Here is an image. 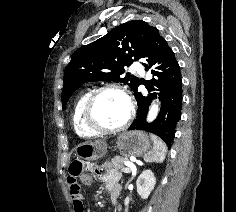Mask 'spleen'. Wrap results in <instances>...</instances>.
Segmentation results:
<instances>
[{
	"instance_id": "3e777b00",
	"label": "spleen",
	"mask_w": 236,
	"mask_h": 212,
	"mask_svg": "<svg viewBox=\"0 0 236 212\" xmlns=\"http://www.w3.org/2000/svg\"><path fill=\"white\" fill-rule=\"evenodd\" d=\"M153 148L144 155V161L148 163H162L165 159L167 147L165 143L156 135L152 134Z\"/></svg>"
}]
</instances>
